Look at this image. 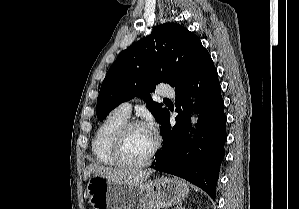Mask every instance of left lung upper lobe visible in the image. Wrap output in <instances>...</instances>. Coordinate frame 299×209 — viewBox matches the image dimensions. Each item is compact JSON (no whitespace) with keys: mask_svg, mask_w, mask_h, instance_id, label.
<instances>
[{"mask_svg":"<svg viewBox=\"0 0 299 209\" xmlns=\"http://www.w3.org/2000/svg\"><path fill=\"white\" fill-rule=\"evenodd\" d=\"M198 36L176 23L153 29L150 35L123 50L109 68L97 98L102 121L120 103L143 94L154 117L162 123L168 110L148 92L158 83L172 87L188 82L210 59Z\"/></svg>","mask_w":299,"mask_h":209,"instance_id":"left-lung-upper-lobe-1","label":"left lung upper lobe"}]
</instances>
